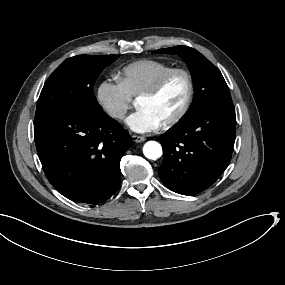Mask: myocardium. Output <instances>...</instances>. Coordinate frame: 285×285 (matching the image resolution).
Instances as JSON below:
<instances>
[{
  "mask_svg": "<svg viewBox=\"0 0 285 285\" xmlns=\"http://www.w3.org/2000/svg\"><path fill=\"white\" fill-rule=\"evenodd\" d=\"M176 76L182 77L185 83L183 99L180 106L175 110V112L160 121V124L162 126H169L178 122L188 111L192 97V81L189 74L182 69L172 70L161 77L153 87L144 92L137 100V104H141L145 100L155 96L160 91H162L167 86V84H169L171 80Z\"/></svg>",
  "mask_w": 285,
  "mask_h": 285,
  "instance_id": "f54148a6",
  "label": "myocardium"
}]
</instances>
